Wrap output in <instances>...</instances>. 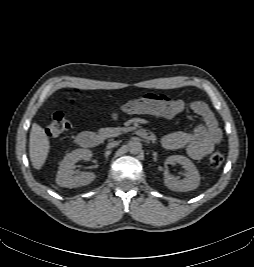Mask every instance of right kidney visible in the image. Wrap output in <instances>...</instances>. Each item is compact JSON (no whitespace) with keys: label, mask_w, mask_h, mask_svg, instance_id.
<instances>
[{"label":"right kidney","mask_w":254,"mask_h":267,"mask_svg":"<svg viewBox=\"0 0 254 267\" xmlns=\"http://www.w3.org/2000/svg\"><path fill=\"white\" fill-rule=\"evenodd\" d=\"M92 152L89 149H76L68 153L60 162L56 183L61 187L74 188L90 184L96 177L93 172H82L74 175L75 164L79 160H89Z\"/></svg>","instance_id":"obj_1"}]
</instances>
